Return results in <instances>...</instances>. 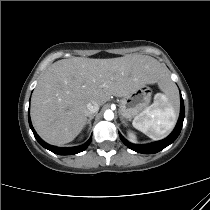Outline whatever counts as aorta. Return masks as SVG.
<instances>
[{
	"label": "aorta",
	"mask_w": 210,
	"mask_h": 210,
	"mask_svg": "<svg viewBox=\"0 0 210 210\" xmlns=\"http://www.w3.org/2000/svg\"><path fill=\"white\" fill-rule=\"evenodd\" d=\"M104 118L106 120H112L114 118V113L111 110H106L104 113Z\"/></svg>",
	"instance_id": "obj_1"
}]
</instances>
